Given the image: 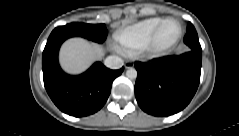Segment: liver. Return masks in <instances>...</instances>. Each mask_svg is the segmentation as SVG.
<instances>
[{"label":"liver","instance_id":"6515ba94","mask_svg":"<svg viewBox=\"0 0 239 136\" xmlns=\"http://www.w3.org/2000/svg\"><path fill=\"white\" fill-rule=\"evenodd\" d=\"M105 55L104 48L82 37H71L61 46L59 62L70 74H80Z\"/></svg>","mask_w":239,"mask_h":136}]
</instances>
